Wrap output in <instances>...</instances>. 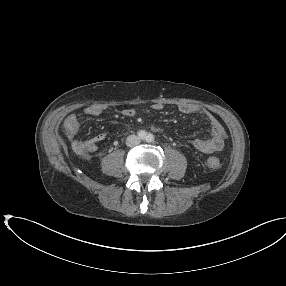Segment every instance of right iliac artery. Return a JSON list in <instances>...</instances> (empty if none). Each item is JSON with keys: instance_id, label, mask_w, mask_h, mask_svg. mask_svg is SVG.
Listing matches in <instances>:
<instances>
[{"instance_id": "82829eb1", "label": "right iliac artery", "mask_w": 286, "mask_h": 286, "mask_svg": "<svg viewBox=\"0 0 286 286\" xmlns=\"http://www.w3.org/2000/svg\"><path fill=\"white\" fill-rule=\"evenodd\" d=\"M146 135H147V133H146L144 130H140V131L138 132V137H139L140 139H145V138H146Z\"/></svg>"}]
</instances>
